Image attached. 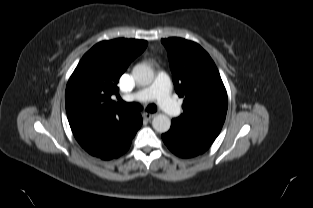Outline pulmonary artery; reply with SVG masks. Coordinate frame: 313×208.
<instances>
[{"instance_id": "1", "label": "pulmonary artery", "mask_w": 313, "mask_h": 208, "mask_svg": "<svg viewBox=\"0 0 313 208\" xmlns=\"http://www.w3.org/2000/svg\"><path fill=\"white\" fill-rule=\"evenodd\" d=\"M128 101L140 103L157 99L160 107L170 116H177L180 113L179 105L171 95V84L169 77L164 73H159L154 83L147 88L136 91L126 96Z\"/></svg>"}]
</instances>
